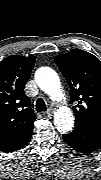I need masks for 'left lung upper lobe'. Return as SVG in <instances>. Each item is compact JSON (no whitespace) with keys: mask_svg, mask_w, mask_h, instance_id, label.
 <instances>
[{"mask_svg":"<svg viewBox=\"0 0 101 180\" xmlns=\"http://www.w3.org/2000/svg\"><path fill=\"white\" fill-rule=\"evenodd\" d=\"M55 61L70 87L75 127L101 133V62L81 49L59 54Z\"/></svg>","mask_w":101,"mask_h":180,"instance_id":"1","label":"left lung upper lobe"}]
</instances>
